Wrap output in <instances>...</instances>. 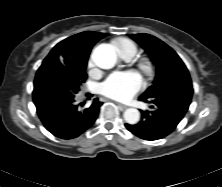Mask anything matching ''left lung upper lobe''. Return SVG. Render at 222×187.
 I'll use <instances>...</instances> for the list:
<instances>
[{
    "label": "left lung upper lobe",
    "mask_w": 222,
    "mask_h": 187,
    "mask_svg": "<svg viewBox=\"0 0 222 187\" xmlns=\"http://www.w3.org/2000/svg\"><path fill=\"white\" fill-rule=\"evenodd\" d=\"M154 59L156 74L152 85L140 96L153 98L165 90L173 91L171 98L180 95V87L192 84L189 72L177 53L160 39L145 33L130 34Z\"/></svg>",
    "instance_id": "5c2ea615"
}]
</instances>
